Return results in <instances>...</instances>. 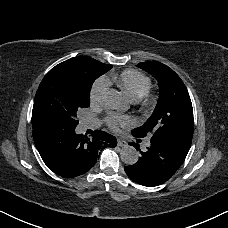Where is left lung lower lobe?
Here are the masks:
<instances>
[{"label":"left lung lower lobe","mask_w":228,"mask_h":228,"mask_svg":"<svg viewBox=\"0 0 228 228\" xmlns=\"http://www.w3.org/2000/svg\"><path fill=\"white\" fill-rule=\"evenodd\" d=\"M133 136L139 137L133 133ZM151 145L146 152L137 143H130L141 153V157L131 166H126L125 172L134 182L153 187L166 182L184 162L191 142L163 135H151Z\"/></svg>","instance_id":"left-lung-lower-lobe-1"}]
</instances>
